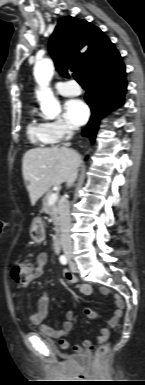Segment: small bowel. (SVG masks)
<instances>
[{"label":"small bowel","mask_w":145,"mask_h":385,"mask_svg":"<svg viewBox=\"0 0 145 385\" xmlns=\"http://www.w3.org/2000/svg\"><path fill=\"white\" fill-rule=\"evenodd\" d=\"M36 263L37 265L34 269L33 279H37L42 276L43 267L47 263V254L44 252L39 253L36 259ZM63 276L68 283L74 284L76 286V289L80 294L84 296H90L92 294V287L89 284L78 283V279L75 274L71 273L68 270H64ZM100 291L104 295L111 296L114 299V302L117 307V309L113 312V314L109 318L107 325L101 329L99 342H104L110 337L112 329L116 327V325L118 324L122 316V309L124 308L125 303L122 297L118 293H116L115 291H113L108 287H101ZM48 306H49V297L46 293H44L38 301L37 311L30 314L28 317V320L31 324L38 325L39 330L42 334L49 336L51 338L59 339L60 346L62 348H68L69 342L65 339V337L73 329L74 318L76 314L74 311H69L67 313L66 321L63 324V328L55 329L44 324V320L48 313ZM85 313L91 319H100L102 317L101 314L95 312L89 306L85 308ZM93 345L94 343L91 340H86L84 342L85 348H90ZM73 349L77 353H81L83 351L82 347L79 345H75Z\"/></svg>","instance_id":"1"}]
</instances>
